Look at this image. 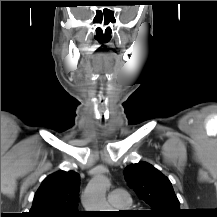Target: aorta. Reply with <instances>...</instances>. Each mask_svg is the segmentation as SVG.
<instances>
[{
	"mask_svg": "<svg viewBox=\"0 0 217 217\" xmlns=\"http://www.w3.org/2000/svg\"><path fill=\"white\" fill-rule=\"evenodd\" d=\"M110 182L103 174H96L88 183L82 195L86 211H110L106 201V191Z\"/></svg>",
	"mask_w": 217,
	"mask_h": 217,
	"instance_id": "762f6f07",
	"label": "aorta"
}]
</instances>
